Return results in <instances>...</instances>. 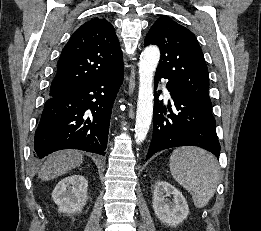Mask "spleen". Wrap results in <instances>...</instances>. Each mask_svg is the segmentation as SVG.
<instances>
[{
    "label": "spleen",
    "mask_w": 261,
    "mask_h": 231,
    "mask_svg": "<svg viewBox=\"0 0 261 231\" xmlns=\"http://www.w3.org/2000/svg\"><path fill=\"white\" fill-rule=\"evenodd\" d=\"M219 170L216 158L200 148H177L170 156L173 178L190 192L198 208L206 206L214 196Z\"/></svg>",
    "instance_id": "3e777b00"
}]
</instances>
